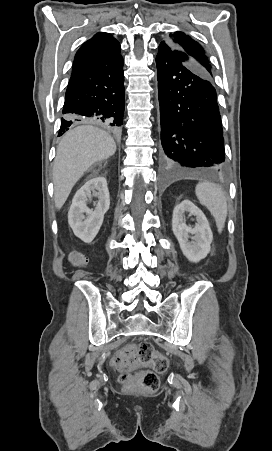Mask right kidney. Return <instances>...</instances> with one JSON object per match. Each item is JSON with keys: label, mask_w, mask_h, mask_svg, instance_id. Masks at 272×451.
Masks as SVG:
<instances>
[{"label": "right kidney", "mask_w": 272, "mask_h": 451, "mask_svg": "<svg viewBox=\"0 0 272 451\" xmlns=\"http://www.w3.org/2000/svg\"><path fill=\"white\" fill-rule=\"evenodd\" d=\"M92 198H97L96 208L89 210L87 204ZM109 206L110 196L106 178L102 176L92 178L77 190L68 212V224L77 237L90 243L102 226L104 214L108 212Z\"/></svg>", "instance_id": "ca27d5eb"}]
</instances>
